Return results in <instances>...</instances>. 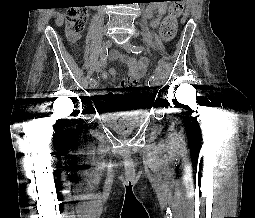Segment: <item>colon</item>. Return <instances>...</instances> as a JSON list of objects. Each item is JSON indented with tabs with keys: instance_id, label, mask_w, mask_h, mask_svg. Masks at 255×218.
Masks as SVG:
<instances>
[{
	"instance_id": "obj_1",
	"label": "colon",
	"mask_w": 255,
	"mask_h": 218,
	"mask_svg": "<svg viewBox=\"0 0 255 218\" xmlns=\"http://www.w3.org/2000/svg\"><path fill=\"white\" fill-rule=\"evenodd\" d=\"M169 11L160 26V37L164 42L171 41L177 32L178 18L181 16L185 0H169ZM89 15L85 7H71L66 12V33L71 40H77L83 33ZM143 90L142 86L137 88V94Z\"/></svg>"
}]
</instances>
